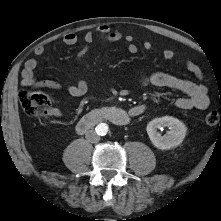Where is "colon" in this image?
I'll use <instances>...</instances> for the list:
<instances>
[{
	"mask_svg": "<svg viewBox=\"0 0 221 221\" xmlns=\"http://www.w3.org/2000/svg\"><path fill=\"white\" fill-rule=\"evenodd\" d=\"M19 102L26 114L32 117H44L52 111V102L45 94L23 90L19 94ZM208 125L221 124V115L217 111L206 114Z\"/></svg>",
	"mask_w": 221,
	"mask_h": 221,
	"instance_id": "1",
	"label": "colon"
}]
</instances>
